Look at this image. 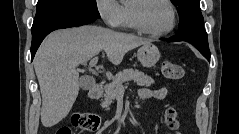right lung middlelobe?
Segmentation results:
<instances>
[{
  "label": "right lung middle lobe",
  "mask_w": 239,
  "mask_h": 134,
  "mask_svg": "<svg viewBox=\"0 0 239 134\" xmlns=\"http://www.w3.org/2000/svg\"><path fill=\"white\" fill-rule=\"evenodd\" d=\"M67 14L100 18L96 0H38L32 31L55 17Z\"/></svg>",
  "instance_id": "dd1d6c3e"
}]
</instances>
